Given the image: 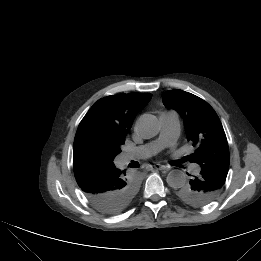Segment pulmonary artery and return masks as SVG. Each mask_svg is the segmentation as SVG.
Listing matches in <instances>:
<instances>
[{
    "label": "pulmonary artery",
    "mask_w": 261,
    "mask_h": 261,
    "mask_svg": "<svg viewBox=\"0 0 261 261\" xmlns=\"http://www.w3.org/2000/svg\"><path fill=\"white\" fill-rule=\"evenodd\" d=\"M159 122L161 126L159 138L152 143L140 146L133 153L123 155V160L132 158H145L173 143L180 133V121L177 112L163 111L159 114ZM193 173H197L199 168L196 165L189 167Z\"/></svg>",
    "instance_id": "e3ab8cb5"
}]
</instances>
